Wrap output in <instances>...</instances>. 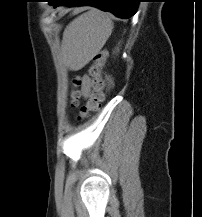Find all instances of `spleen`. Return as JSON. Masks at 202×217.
<instances>
[{"label":"spleen","mask_w":202,"mask_h":217,"mask_svg":"<svg viewBox=\"0 0 202 217\" xmlns=\"http://www.w3.org/2000/svg\"><path fill=\"white\" fill-rule=\"evenodd\" d=\"M112 29L109 15L93 9L78 16L66 27L62 47L73 60L91 57L103 47Z\"/></svg>","instance_id":"1"}]
</instances>
